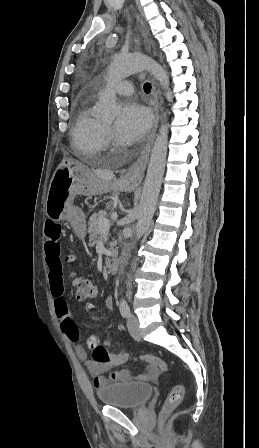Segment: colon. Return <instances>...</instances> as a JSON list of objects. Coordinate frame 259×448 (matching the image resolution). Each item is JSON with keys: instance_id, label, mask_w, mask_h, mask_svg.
Instances as JSON below:
<instances>
[{"instance_id": "colon-1", "label": "colon", "mask_w": 259, "mask_h": 448, "mask_svg": "<svg viewBox=\"0 0 259 448\" xmlns=\"http://www.w3.org/2000/svg\"><path fill=\"white\" fill-rule=\"evenodd\" d=\"M73 260V256L68 257V261ZM72 283L75 289V295L78 299L84 300L97 295L96 285L87 276L74 274L72 276ZM87 344L88 347L92 349V357L96 363H110L112 365H118L129 361H141L149 363L163 372H167L169 370L168 364L162 358L151 354H143L138 356H131L126 353L112 354L106 347L102 346L98 339L94 336L88 338ZM183 394L184 389L182 385L174 384L164 401L161 411V418H164L169 412L174 410L180 404Z\"/></svg>"}]
</instances>
